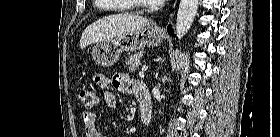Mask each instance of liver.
<instances>
[{
    "label": "liver",
    "instance_id": "6515ba94",
    "mask_svg": "<svg viewBox=\"0 0 280 137\" xmlns=\"http://www.w3.org/2000/svg\"><path fill=\"white\" fill-rule=\"evenodd\" d=\"M150 24H152L150 19L133 13H121L103 17L84 29L79 46L84 49L92 43L106 41Z\"/></svg>",
    "mask_w": 280,
    "mask_h": 137
}]
</instances>
